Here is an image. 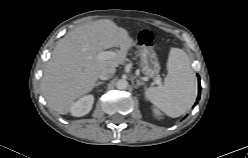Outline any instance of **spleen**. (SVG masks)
Returning a JSON list of instances; mask_svg holds the SVG:
<instances>
[{"label":"spleen","instance_id":"1","mask_svg":"<svg viewBox=\"0 0 248 158\" xmlns=\"http://www.w3.org/2000/svg\"><path fill=\"white\" fill-rule=\"evenodd\" d=\"M167 69L164 85L147 88L145 95L166 115L176 118L186 113L195 102L196 77L187 54L179 48L170 50Z\"/></svg>","mask_w":248,"mask_h":158}]
</instances>
